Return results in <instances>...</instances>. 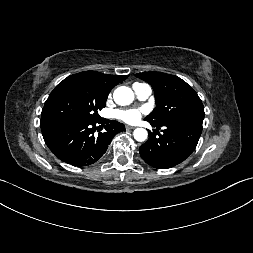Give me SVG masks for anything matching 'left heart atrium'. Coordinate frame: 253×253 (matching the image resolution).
I'll use <instances>...</instances> for the list:
<instances>
[{
    "label": "left heart atrium",
    "mask_w": 253,
    "mask_h": 253,
    "mask_svg": "<svg viewBox=\"0 0 253 253\" xmlns=\"http://www.w3.org/2000/svg\"><path fill=\"white\" fill-rule=\"evenodd\" d=\"M143 113V109H125L116 111L115 116L126 123H135L141 118Z\"/></svg>",
    "instance_id": "39dd6f15"
}]
</instances>
